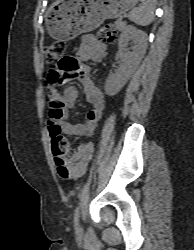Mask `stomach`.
<instances>
[{"label": "stomach", "mask_w": 194, "mask_h": 250, "mask_svg": "<svg viewBox=\"0 0 194 250\" xmlns=\"http://www.w3.org/2000/svg\"><path fill=\"white\" fill-rule=\"evenodd\" d=\"M138 0H61L47 15L49 35L69 41L96 29L103 20L116 18L132 9Z\"/></svg>", "instance_id": "1"}]
</instances>
